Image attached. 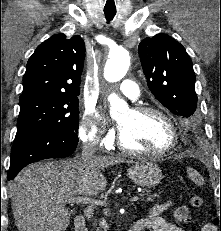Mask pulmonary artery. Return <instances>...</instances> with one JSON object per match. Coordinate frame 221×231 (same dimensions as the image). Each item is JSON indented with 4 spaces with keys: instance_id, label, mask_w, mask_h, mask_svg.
<instances>
[{
    "instance_id": "e3ab8cb5",
    "label": "pulmonary artery",
    "mask_w": 221,
    "mask_h": 231,
    "mask_svg": "<svg viewBox=\"0 0 221 231\" xmlns=\"http://www.w3.org/2000/svg\"><path fill=\"white\" fill-rule=\"evenodd\" d=\"M120 91L130 99L137 100L140 97L138 85L131 80H124L119 85Z\"/></svg>"
}]
</instances>
